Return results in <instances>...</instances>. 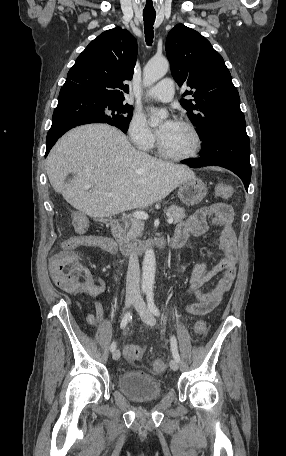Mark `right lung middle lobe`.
<instances>
[{"instance_id":"right-lung-middle-lobe-1","label":"right lung middle lobe","mask_w":286,"mask_h":456,"mask_svg":"<svg viewBox=\"0 0 286 456\" xmlns=\"http://www.w3.org/2000/svg\"><path fill=\"white\" fill-rule=\"evenodd\" d=\"M94 98V103L87 107V123H108L126 133L133 115V107L123 104V101H111L96 96Z\"/></svg>"}]
</instances>
